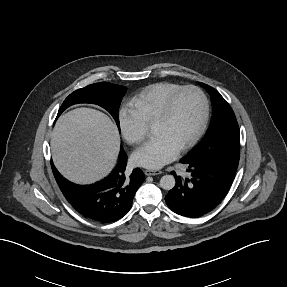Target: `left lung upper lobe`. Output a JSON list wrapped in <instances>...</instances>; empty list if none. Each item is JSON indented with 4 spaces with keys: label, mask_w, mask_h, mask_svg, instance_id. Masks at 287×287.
I'll return each instance as SVG.
<instances>
[{
    "label": "left lung upper lobe",
    "mask_w": 287,
    "mask_h": 287,
    "mask_svg": "<svg viewBox=\"0 0 287 287\" xmlns=\"http://www.w3.org/2000/svg\"><path fill=\"white\" fill-rule=\"evenodd\" d=\"M210 94L213 113L211 127L204 139L182 160L222 161L238 165L240 135L235 114L220 93L199 83Z\"/></svg>",
    "instance_id": "obj_1"
}]
</instances>
